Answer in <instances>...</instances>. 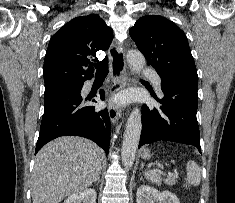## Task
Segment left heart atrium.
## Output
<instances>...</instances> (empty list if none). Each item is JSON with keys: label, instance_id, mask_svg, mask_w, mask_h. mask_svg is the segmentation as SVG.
Instances as JSON below:
<instances>
[{"label": "left heart atrium", "instance_id": "1", "mask_svg": "<svg viewBox=\"0 0 235 203\" xmlns=\"http://www.w3.org/2000/svg\"><path fill=\"white\" fill-rule=\"evenodd\" d=\"M128 96L126 94H120L115 98V102L118 104H123L127 101Z\"/></svg>", "mask_w": 235, "mask_h": 203}]
</instances>
